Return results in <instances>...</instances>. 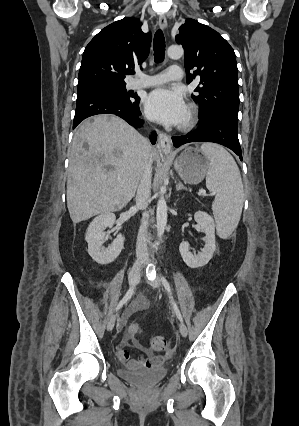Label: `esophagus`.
<instances>
[{
  "mask_svg": "<svg viewBox=\"0 0 299 426\" xmlns=\"http://www.w3.org/2000/svg\"><path fill=\"white\" fill-rule=\"evenodd\" d=\"M159 27L162 30L167 28V20L165 16H160L158 20ZM157 148L160 152L168 155L172 152V141L171 137L165 133H160L158 137Z\"/></svg>",
  "mask_w": 299,
  "mask_h": 426,
  "instance_id": "esophagus-1",
  "label": "esophagus"
}]
</instances>
